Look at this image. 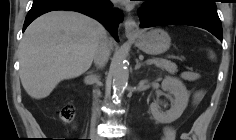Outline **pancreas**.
<instances>
[{
	"mask_svg": "<svg viewBox=\"0 0 236 140\" xmlns=\"http://www.w3.org/2000/svg\"><path fill=\"white\" fill-rule=\"evenodd\" d=\"M155 65L162 70H166L171 74L176 73L177 70V65L171 61L165 60V59H157L155 62Z\"/></svg>",
	"mask_w": 236,
	"mask_h": 140,
	"instance_id": "obj_1",
	"label": "pancreas"
}]
</instances>
